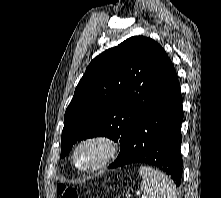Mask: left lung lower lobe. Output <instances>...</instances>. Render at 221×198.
I'll return each instance as SVG.
<instances>
[{"instance_id": "0a47b994", "label": "left lung lower lobe", "mask_w": 221, "mask_h": 198, "mask_svg": "<svg viewBox=\"0 0 221 198\" xmlns=\"http://www.w3.org/2000/svg\"><path fill=\"white\" fill-rule=\"evenodd\" d=\"M182 121V96L173 68L160 95L141 117L109 168L147 163L159 167L177 186L180 185L183 166L180 154Z\"/></svg>"}]
</instances>
